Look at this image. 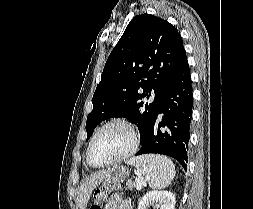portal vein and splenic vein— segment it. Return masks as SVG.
Instances as JSON below:
<instances>
[{"instance_id":"1","label":"portal vein and splenic vein","mask_w":253,"mask_h":209,"mask_svg":"<svg viewBox=\"0 0 253 209\" xmlns=\"http://www.w3.org/2000/svg\"><path fill=\"white\" fill-rule=\"evenodd\" d=\"M142 185H143V180L141 178H136V188L138 190H141Z\"/></svg>"}]
</instances>
